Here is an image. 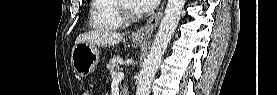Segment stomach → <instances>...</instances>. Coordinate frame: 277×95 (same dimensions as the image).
Instances as JSON below:
<instances>
[{"instance_id": "obj_1", "label": "stomach", "mask_w": 277, "mask_h": 95, "mask_svg": "<svg viewBox=\"0 0 277 95\" xmlns=\"http://www.w3.org/2000/svg\"><path fill=\"white\" fill-rule=\"evenodd\" d=\"M136 45H141L145 40L133 37ZM99 62V50L96 45L86 42L75 44L71 52V66L78 76L85 77L91 74Z\"/></svg>"}]
</instances>
